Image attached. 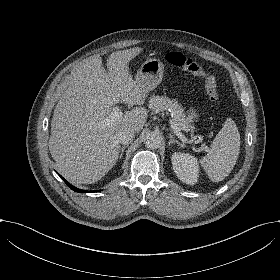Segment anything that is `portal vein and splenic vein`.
I'll return each instance as SVG.
<instances>
[{
  "label": "portal vein and splenic vein",
  "instance_id": "18ae733b",
  "mask_svg": "<svg viewBox=\"0 0 280 280\" xmlns=\"http://www.w3.org/2000/svg\"><path fill=\"white\" fill-rule=\"evenodd\" d=\"M123 113L119 110H113V112L111 113V115H109L108 117H106L104 120H103V123L105 125H109L112 121L116 120L117 118L119 119L120 117H122ZM170 124H171V128L174 130V133H176L178 136H181L180 134V129L178 127V125L174 122H172L170 120ZM186 141V140H184ZM203 149L205 151L208 150L207 146H204Z\"/></svg>",
  "mask_w": 280,
  "mask_h": 280
}]
</instances>
